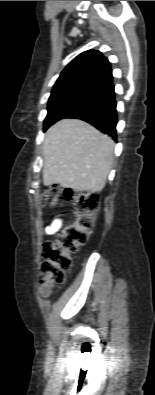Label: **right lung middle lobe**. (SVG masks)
<instances>
[{"instance_id":"obj_1","label":"right lung middle lobe","mask_w":155,"mask_h":395,"mask_svg":"<svg viewBox=\"0 0 155 395\" xmlns=\"http://www.w3.org/2000/svg\"><path fill=\"white\" fill-rule=\"evenodd\" d=\"M102 91L101 87L84 83L54 86L48 102L44 130L94 100Z\"/></svg>"}]
</instances>
